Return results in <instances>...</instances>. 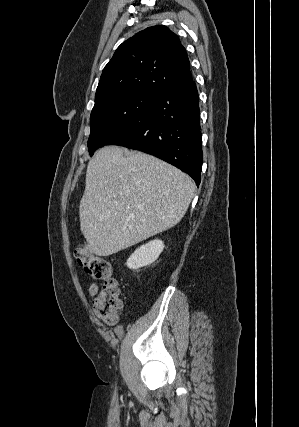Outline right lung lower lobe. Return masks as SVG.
<instances>
[{
    "mask_svg": "<svg viewBox=\"0 0 299 427\" xmlns=\"http://www.w3.org/2000/svg\"><path fill=\"white\" fill-rule=\"evenodd\" d=\"M196 84L157 95L147 109L106 145H120L154 155L200 183L202 148Z\"/></svg>",
    "mask_w": 299,
    "mask_h": 427,
    "instance_id": "obj_1",
    "label": "right lung lower lobe"
}]
</instances>
